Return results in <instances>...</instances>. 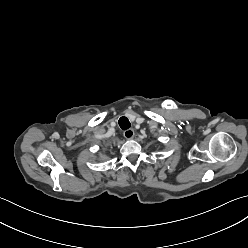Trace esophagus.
<instances>
[{"label":"esophagus","mask_w":248,"mask_h":248,"mask_svg":"<svg viewBox=\"0 0 248 248\" xmlns=\"http://www.w3.org/2000/svg\"><path fill=\"white\" fill-rule=\"evenodd\" d=\"M134 130L133 129H127L124 131L123 135L126 139H132L134 137Z\"/></svg>","instance_id":"34e87169"}]
</instances>
